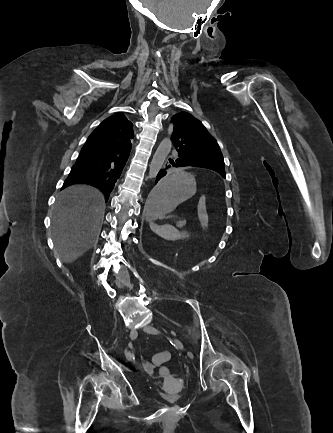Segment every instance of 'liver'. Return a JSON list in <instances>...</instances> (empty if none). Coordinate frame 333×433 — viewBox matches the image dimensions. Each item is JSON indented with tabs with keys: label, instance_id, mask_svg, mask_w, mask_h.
Returning <instances> with one entry per match:
<instances>
[{
	"label": "liver",
	"instance_id": "liver-1",
	"mask_svg": "<svg viewBox=\"0 0 333 433\" xmlns=\"http://www.w3.org/2000/svg\"><path fill=\"white\" fill-rule=\"evenodd\" d=\"M105 212L104 195L80 184L64 189L54 206L52 231L62 262L72 263L98 241Z\"/></svg>",
	"mask_w": 333,
	"mask_h": 433
}]
</instances>
